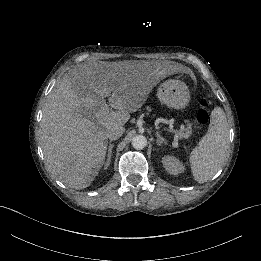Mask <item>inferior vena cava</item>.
<instances>
[{"label":"inferior vena cava","mask_w":261,"mask_h":261,"mask_svg":"<svg viewBox=\"0 0 261 261\" xmlns=\"http://www.w3.org/2000/svg\"><path fill=\"white\" fill-rule=\"evenodd\" d=\"M125 132L124 127H115L107 132V137L109 140L114 141L119 139Z\"/></svg>","instance_id":"obj_1"}]
</instances>
